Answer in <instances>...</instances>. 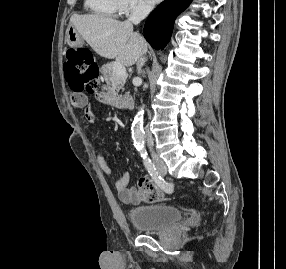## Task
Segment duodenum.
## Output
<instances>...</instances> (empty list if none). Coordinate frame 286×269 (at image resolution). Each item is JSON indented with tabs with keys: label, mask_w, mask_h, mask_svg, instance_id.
Masks as SVG:
<instances>
[{
	"label": "duodenum",
	"mask_w": 286,
	"mask_h": 269,
	"mask_svg": "<svg viewBox=\"0 0 286 269\" xmlns=\"http://www.w3.org/2000/svg\"><path fill=\"white\" fill-rule=\"evenodd\" d=\"M119 106L123 109H131L133 107V102L128 99H123L119 101Z\"/></svg>",
	"instance_id": "obj_1"
}]
</instances>
